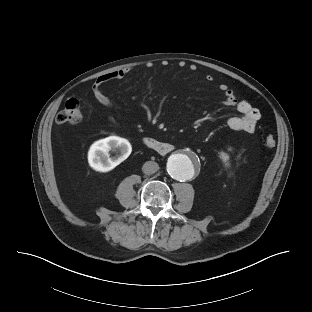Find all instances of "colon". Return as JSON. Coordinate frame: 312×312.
Masks as SVG:
<instances>
[{
	"mask_svg": "<svg viewBox=\"0 0 312 312\" xmlns=\"http://www.w3.org/2000/svg\"><path fill=\"white\" fill-rule=\"evenodd\" d=\"M81 120V106L77 99L68 100L64 108L56 116V121L59 124H78ZM264 145L267 148H273L276 145L274 136L271 134L266 135Z\"/></svg>",
	"mask_w": 312,
	"mask_h": 312,
	"instance_id": "colon-1",
	"label": "colon"
}]
</instances>
